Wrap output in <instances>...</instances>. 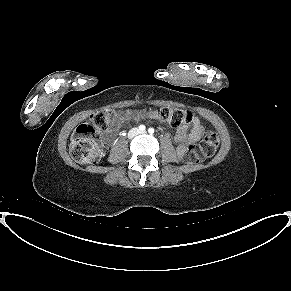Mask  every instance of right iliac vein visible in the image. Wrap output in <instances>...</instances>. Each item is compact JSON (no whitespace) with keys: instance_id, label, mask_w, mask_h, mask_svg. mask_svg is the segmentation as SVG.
<instances>
[{"instance_id":"right-iliac-vein-1","label":"right iliac vein","mask_w":291,"mask_h":291,"mask_svg":"<svg viewBox=\"0 0 291 291\" xmlns=\"http://www.w3.org/2000/svg\"><path fill=\"white\" fill-rule=\"evenodd\" d=\"M137 129H133L132 131H131V133H130V135H135V134H137Z\"/></svg>"}]
</instances>
